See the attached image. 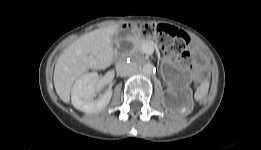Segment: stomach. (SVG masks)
Listing matches in <instances>:
<instances>
[{"mask_svg":"<svg viewBox=\"0 0 261 150\" xmlns=\"http://www.w3.org/2000/svg\"><path fill=\"white\" fill-rule=\"evenodd\" d=\"M132 36H135L134 32H133Z\"/></svg>","mask_w":261,"mask_h":150,"instance_id":"obj_1","label":"stomach"}]
</instances>
